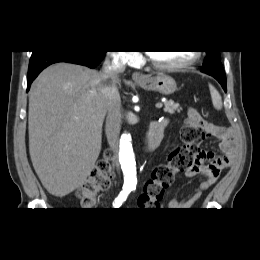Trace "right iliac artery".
<instances>
[{
    "mask_svg": "<svg viewBox=\"0 0 260 260\" xmlns=\"http://www.w3.org/2000/svg\"><path fill=\"white\" fill-rule=\"evenodd\" d=\"M130 191H131L130 187H123L122 191L120 192L118 197L113 202V206L116 207V208L121 206L122 203L127 199Z\"/></svg>",
    "mask_w": 260,
    "mask_h": 260,
    "instance_id": "82829eb1",
    "label": "right iliac artery"
}]
</instances>
